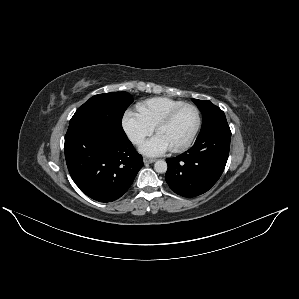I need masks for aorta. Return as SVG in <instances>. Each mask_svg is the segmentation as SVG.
<instances>
[{
  "label": "aorta",
  "instance_id": "1",
  "mask_svg": "<svg viewBox=\"0 0 299 299\" xmlns=\"http://www.w3.org/2000/svg\"><path fill=\"white\" fill-rule=\"evenodd\" d=\"M154 169L158 173H165L167 171V163L164 160H158L154 164Z\"/></svg>",
  "mask_w": 299,
  "mask_h": 299
}]
</instances>
